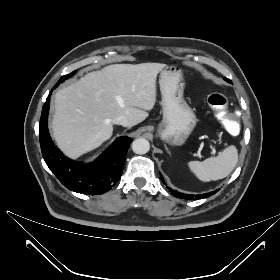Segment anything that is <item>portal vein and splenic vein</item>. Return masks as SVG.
<instances>
[{
	"label": "portal vein and splenic vein",
	"instance_id": "18ae733b",
	"mask_svg": "<svg viewBox=\"0 0 280 280\" xmlns=\"http://www.w3.org/2000/svg\"><path fill=\"white\" fill-rule=\"evenodd\" d=\"M211 148H212L213 153L215 154V153H216V150H215L213 147H211ZM198 156L201 157L200 154H198Z\"/></svg>",
	"mask_w": 280,
	"mask_h": 280
}]
</instances>
